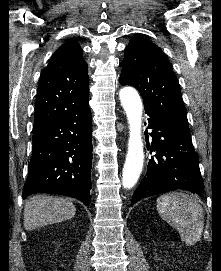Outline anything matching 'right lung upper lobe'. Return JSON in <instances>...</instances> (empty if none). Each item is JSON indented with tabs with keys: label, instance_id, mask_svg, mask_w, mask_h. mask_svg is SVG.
<instances>
[{
	"label": "right lung upper lobe",
	"instance_id": "1",
	"mask_svg": "<svg viewBox=\"0 0 221 271\" xmlns=\"http://www.w3.org/2000/svg\"><path fill=\"white\" fill-rule=\"evenodd\" d=\"M89 77L82 48L68 40L40 76L33 128L89 108Z\"/></svg>",
	"mask_w": 221,
	"mask_h": 271
}]
</instances>
